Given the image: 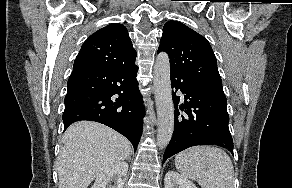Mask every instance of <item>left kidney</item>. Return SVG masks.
Instances as JSON below:
<instances>
[{
	"label": "left kidney",
	"mask_w": 292,
	"mask_h": 188,
	"mask_svg": "<svg viewBox=\"0 0 292 188\" xmlns=\"http://www.w3.org/2000/svg\"><path fill=\"white\" fill-rule=\"evenodd\" d=\"M164 188H197L196 185L175 171H168L164 178Z\"/></svg>",
	"instance_id": "5707ae66"
}]
</instances>
